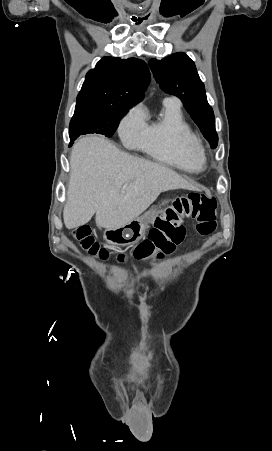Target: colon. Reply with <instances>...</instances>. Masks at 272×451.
<instances>
[{"label": "colon", "mask_w": 272, "mask_h": 451, "mask_svg": "<svg viewBox=\"0 0 272 451\" xmlns=\"http://www.w3.org/2000/svg\"><path fill=\"white\" fill-rule=\"evenodd\" d=\"M185 219L196 223L198 233L211 234L217 227L216 200L213 195L202 192H190L174 198L167 204L163 212L155 218V228L149 232L148 239L142 241L133 251L137 261L157 264L165 256L171 254L177 243L182 241L184 232L182 222ZM72 236L85 251L97 255L99 262H105L109 252L93 238L90 228L86 225L76 227ZM103 251V252H102ZM102 252V253H100ZM115 262H125V253H115Z\"/></svg>", "instance_id": "5ec220e1"}]
</instances>
